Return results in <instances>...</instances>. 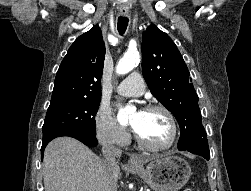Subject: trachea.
<instances>
[{
  "label": "trachea",
  "instance_id": "obj_1",
  "mask_svg": "<svg viewBox=\"0 0 251 191\" xmlns=\"http://www.w3.org/2000/svg\"><path fill=\"white\" fill-rule=\"evenodd\" d=\"M128 18L127 17H118L117 29L120 35H123L128 26Z\"/></svg>",
  "mask_w": 251,
  "mask_h": 191
}]
</instances>
